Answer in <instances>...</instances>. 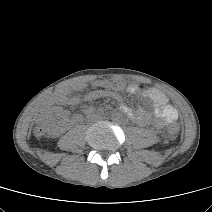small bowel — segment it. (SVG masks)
Returning a JSON list of instances; mask_svg holds the SVG:
<instances>
[{
    "label": "small bowel",
    "instance_id": "1",
    "mask_svg": "<svg viewBox=\"0 0 212 212\" xmlns=\"http://www.w3.org/2000/svg\"><path fill=\"white\" fill-rule=\"evenodd\" d=\"M95 90L89 92L85 97V101H94L102 98H113L120 102V110L129 118L136 121L140 125L152 124L157 128L173 123L178 118L177 110L168 103V99L161 91L156 88L147 87L142 84L126 85L120 81L109 82L106 80H96L92 83ZM83 86H79L78 90ZM130 93H142L148 97L155 107V118L143 110L134 111L123 103L120 95L121 91ZM81 102L78 95H70L68 90H59L55 92L44 108V119L49 120L53 125L52 133L59 135L65 130L81 122L80 115L69 116L66 106H75Z\"/></svg>",
    "mask_w": 212,
    "mask_h": 212
}]
</instances>
